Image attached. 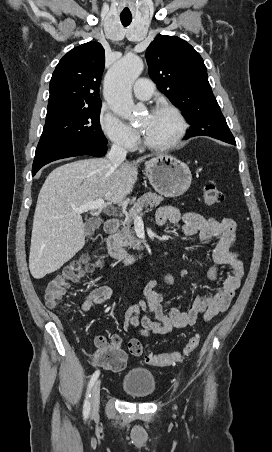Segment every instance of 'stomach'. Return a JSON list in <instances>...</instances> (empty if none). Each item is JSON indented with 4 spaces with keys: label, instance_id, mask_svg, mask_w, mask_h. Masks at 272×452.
<instances>
[{
    "label": "stomach",
    "instance_id": "0dacf381",
    "mask_svg": "<svg viewBox=\"0 0 272 452\" xmlns=\"http://www.w3.org/2000/svg\"><path fill=\"white\" fill-rule=\"evenodd\" d=\"M145 174L156 192L165 197H178L191 185L192 174L187 164L161 153L145 163Z\"/></svg>",
    "mask_w": 272,
    "mask_h": 452
}]
</instances>
